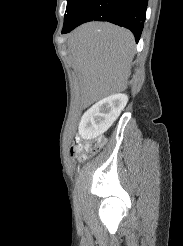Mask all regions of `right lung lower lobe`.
<instances>
[{
  "mask_svg": "<svg viewBox=\"0 0 183 246\" xmlns=\"http://www.w3.org/2000/svg\"><path fill=\"white\" fill-rule=\"evenodd\" d=\"M148 0H80L64 21L62 33L88 21H108L131 30L136 42L146 19Z\"/></svg>",
  "mask_w": 183,
  "mask_h": 246,
  "instance_id": "obj_1",
  "label": "right lung lower lobe"
}]
</instances>
